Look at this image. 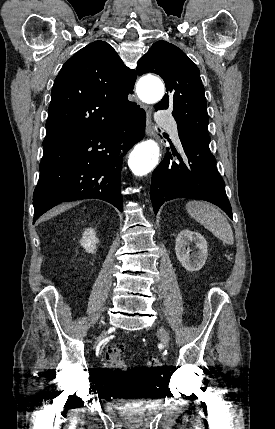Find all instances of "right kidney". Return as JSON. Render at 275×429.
<instances>
[{"label": "right kidney", "mask_w": 275, "mask_h": 429, "mask_svg": "<svg viewBox=\"0 0 275 429\" xmlns=\"http://www.w3.org/2000/svg\"><path fill=\"white\" fill-rule=\"evenodd\" d=\"M97 238L95 231L92 228H88L84 231L82 239L80 241L81 246L88 253H94L96 250Z\"/></svg>", "instance_id": "obj_1"}]
</instances>
